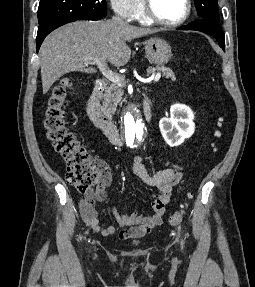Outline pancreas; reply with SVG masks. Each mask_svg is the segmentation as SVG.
<instances>
[{"instance_id":"pancreas-1","label":"pancreas","mask_w":255,"mask_h":287,"mask_svg":"<svg viewBox=\"0 0 255 287\" xmlns=\"http://www.w3.org/2000/svg\"><path fill=\"white\" fill-rule=\"evenodd\" d=\"M154 72H163V76L165 78H171V80H176L172 70L170 68H166V66H156V68H148L147 76H151ZM125 84L122 86H117V84H110L106 90H104L103 98H102V108H103V116H112L114 112H116V108L118 104L122 102V96L124 94Z\"/></svg>"}]
</instances>
